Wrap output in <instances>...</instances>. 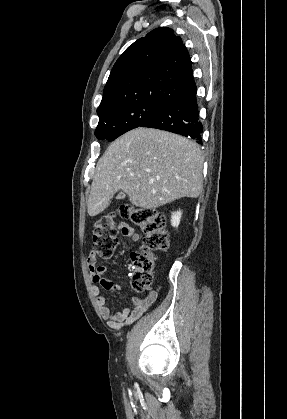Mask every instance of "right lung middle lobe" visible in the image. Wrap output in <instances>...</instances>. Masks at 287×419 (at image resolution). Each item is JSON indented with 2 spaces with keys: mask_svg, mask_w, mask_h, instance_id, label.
<instances>
[{
  "mask_svg": "<svg viewBox=\"0 0 287 419\" xmlns=\"http://www.w3.org/2000/svg\"><path fill=\"white\" fill-rule=\"evenodd\" d=\"M164 105L163 102H135L98 114L99 123L95 136L98 139L113 141L125 132L139 127Z\"/></svg>",
  "mask_w": 287,
  "mask_h": 419,
  "instance_id": "obj_1",
  "label": "right lung middle lobe"
}]
</instances>
